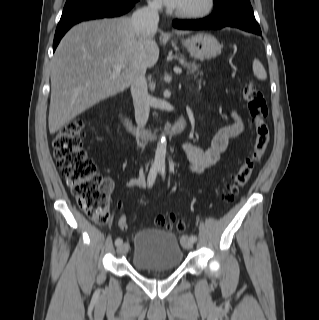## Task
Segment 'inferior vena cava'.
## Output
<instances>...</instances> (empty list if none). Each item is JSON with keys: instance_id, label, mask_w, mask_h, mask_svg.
<instances>
[{"instance_id": "602c4592", "label": "inferior vena cava", "mask_w": 319, "mask_h": 320, "mask_svg": "<svg viewBox=\"0 0 319 320\" xmlns=\"http://www.w3.org/2000/svg\"><path fill=\"white\" fill-rule=\"evenodd\" d=\"M161 5L158 2H148V6L136 10L131 21L137 33L151 34L157 30L159 22L158 11ZM146 68H141L135 75L131 84V94L135 108V120L138 127H144L149 118L150 95L145 79Z\"/></svg>"}]
</instances>
